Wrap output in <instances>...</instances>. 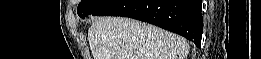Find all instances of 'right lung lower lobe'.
I'll return each mask as SVG.
<instances>
[{
  "label": "right lung lower lobe",
  "instance_id": "right-lung-lower-lobe-1",
  "mask_svg": "<svg viewBox=\"0 0 261 59\" xmlns=\"http://www.w3.org/2000/svg\"><path fill=\"white\" fill-rule=\"evenodd\" d=\"M201 0H111L93 16H122L172 31L200 47L203 32Z\"/></svg>",
  "mask_w": 261,
  "mask_h": 59
}]
</instances>
